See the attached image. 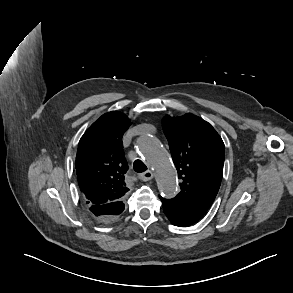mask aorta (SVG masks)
<instances>
[{"mask_svg": "<svg viewBox=\"0 0 293 293\" xmlns=\"http://www.w3.org/2000/svg\"><path fill=\"white\" fill-rule=\"evenodd\" d=\"M137 149L154 170L159 191L167 198L177 193L176 171L171 159L159 141L150 135H143L137 140Z\"/></svg>", "mask_w": 293, "mask_h": 293, "instance_id": "aorta-1", "label": "aorta"}]
</instances>
